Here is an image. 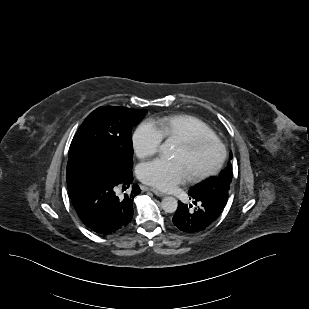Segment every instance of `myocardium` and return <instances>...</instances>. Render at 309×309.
Segmentation results:
<instances>
[{
	"label": "myocardium",
	"instance_id": "myocardium-1",
	"mask_svg": "<svg viewBox=\"0 0 309 309\" xmlns=\"http://www.w3.org/2000/svg\"><path fill=\"white\" fill-rule=\"evenodd\" d=\"M180 143L188 151H196L206 145H214L218 150V156L214 165L204 172L191 175L190 178L192 181H203L219 172L226 158V147L219 138L215 136H194L180 140Z\"/></svg>",
	"mask_w": 309,
	"mask_h": 309
}]
</instances>
